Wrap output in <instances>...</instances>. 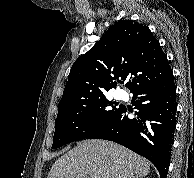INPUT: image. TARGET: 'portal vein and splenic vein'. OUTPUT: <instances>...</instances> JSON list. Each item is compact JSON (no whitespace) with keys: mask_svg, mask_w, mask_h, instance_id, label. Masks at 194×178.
Instances as JSON below:
<instances>
[{"mask_svg":"<svg viewBox=\"0 0 194 178\" xmlns=\"http://www.w3.org/2000/svg\"><path fill=\"white\" fill-rule=\"evenodd\" d=\"M74 178H90V177L87 176V175H80V176H76V177H74Z\"/></svg>","mask_w":194,"mask_h":178,"instance_id":"obj_1","label":"portal vein and splenic vein"}]
</instances>
